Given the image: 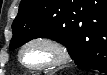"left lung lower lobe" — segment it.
Returning a JSON list of instances; mask_svg holds the SVG:
<instances>
[{"instance_id":"1","label":"left lung lower lobe","mask_w":107,"mask_h":75,"mask_svg":"<svg viewBox=\"0 0 107 75\" xmlns=\"http://www.w3.org/2000/svg\"><path fill=\"white\" fill-rule=\"evenodd\" d=\"M88 2L97 8L82 21L79 38L87 42L85 47L89 50L80 57L72 58L78 66L107 74V0Z\"/></svg>"}]
</instances>
